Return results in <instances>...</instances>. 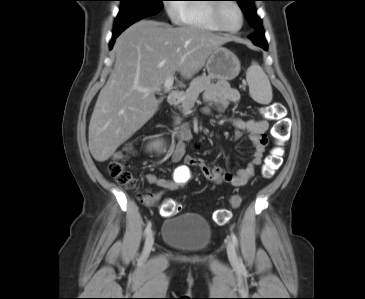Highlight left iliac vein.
<instances>
[{
	"label": "left iliac vein",
	"instance_id": "obj_1",
	"mask_svg": "<svg viewBox=\"0 0 365 299\" xmlns=\"http://www.w3.org/2000/svg\"><path fill=\"white\" fill-rule=\"evenodd\" d=\"M227 255L232 264H236L238 262L235 246L231 240H228L227 242Z\"/></svg>",
	"mask_w": 365,
	"mask_h": 299
}]
</instances>
